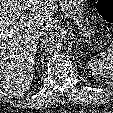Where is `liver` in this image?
Wrapping results in <instances>:
<instances>
[{"mask_svg": "<svg viewBox=\"0 0 113 113\" xmlns=\"http://www.w3.org/2000/svg\"><path fill=\"white\" fill-rule=\"evenodd\" d=\"M58 0H0V88L27 92L34 77L40 31L51 26Z\"/></svg>", "mask_w": 113, "mask_h": 113, "instance_id": "obj_1", "label": "liver"}]
</instances>
